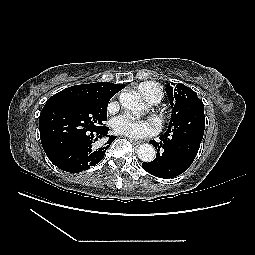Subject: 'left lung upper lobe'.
<instances>
[{"instance_id": "obj_1", "label": "left lung upper lobe", "mask_w": 255, "mask_h": 255, "mask_svg": "<svg viewBox=\"0 0 255 255\" xmlns=\"http://www.w3.org/2000/svg\"><path fill=\"white\" fill-rule=\"evenodd\" d=\"M166 93L173 108L168 127L189 124L199 111L204 110L203 102L197 97V93L181 83L167 84Z\"/></svg>"}]
</instances>
